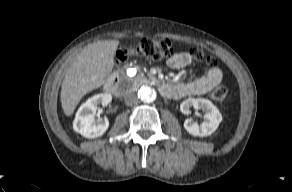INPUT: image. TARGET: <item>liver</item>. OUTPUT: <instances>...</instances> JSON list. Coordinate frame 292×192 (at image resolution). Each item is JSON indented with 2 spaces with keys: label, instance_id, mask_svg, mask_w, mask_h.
I'll list each match as a JSON object with an SVG mask.
<instances>
[{
  "label": "liver",
  "instance_id": "6515ba94",
  "mask_svg": "<svg viewBox=\"0 0 292 192\" xmlns=\"http://www.w3.org/2000/svg\"><path fill=\"white\" fill-rule=\"evenodd\" d=\"M118 40L87 45L75 58L64 77L60 100L66 116L73 114L84 95L101 87L114 66Z\"/></svg>",
  "mask_w": 292,
  "mask_h": 192
}]
</instances>
